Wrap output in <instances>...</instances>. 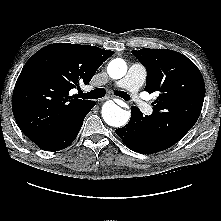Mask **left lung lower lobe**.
Masks as SVG:
<instances>
[{
    "mask_svg": "<svg viewBox=\"0 0 221 221\" xmlns=\"http://www.w3.org/2000/svg\"><path fill=\"white\" fill-rule=\"evenodd\" d=\"M131 119L122 128L116 129V134L122 139L123 143L131 150L150 154L165 150L157 143L150 130L143 125V114L136 107H131Z\"/></svg>",
    "mask_w": 221,
    "mask_h": 221,
    "instance_id": "0a47b994",
    "label": "left lung lower lobe"
}]
</instances>
